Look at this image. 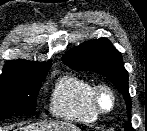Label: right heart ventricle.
I'll return each mask as SVG.
<instances>
[{"instance_id": "e07e8e85", "label": "right heart ventricle", "mask_w": 147, "mask_h": 131, "mask_svg": "<svg viewBox=\"0 0 147 131\" xmlns=\"http://www.w3.org/2000/svg\"><path fill=\"white\" fill-rule=\"evenodd\" d=\"M93 87V82L79 75L61 76L56 81L50 95L51 114L79 124H90L97 121L99 115L94 111L90 101Z\"/></svg>"}]
</instances>
